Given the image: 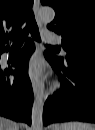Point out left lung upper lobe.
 I'll use <instances>...</instances> for the list:
<instances>
[{
	"instance_id": "5c2ea615",
	"label": "left lung upper lobe",
	"mask_w": 95,
	"mask_h": 130,
	"mask_svg": "<svg viewBox=\"0 0 95 130\" xmlns=\"http://www.w3.org/2000/svg\"><path fill=\"white\" fill-rule=\"evenodd\" d=\"M41 3L55 10V18L47 28L62 35L66 58L95 59V0H41Z\"/></svg>"
}]
</instances>
